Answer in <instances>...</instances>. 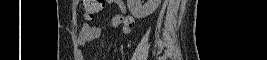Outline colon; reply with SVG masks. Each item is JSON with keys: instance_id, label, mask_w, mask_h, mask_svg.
Returning a JSON list of instances; mask_svg holds the SVG:
<instances>
[{"instance_id": "obj_1", "label": "colon", "mask_w": 267, "mask_h": 60, "mask_svg": "<svg viewBox=\"0 0 267 60\" xmlns=\"http://www.w3.org/2000/svg\"><path fill=\"white\" fill-rule=\"evenodd\" d=\"M104 0H84V17L91 20L99 15L104 9Z\"/></svg>"}]
</instances>
